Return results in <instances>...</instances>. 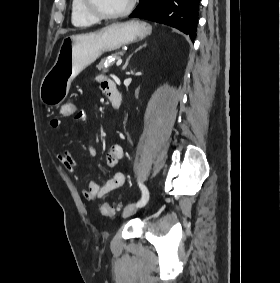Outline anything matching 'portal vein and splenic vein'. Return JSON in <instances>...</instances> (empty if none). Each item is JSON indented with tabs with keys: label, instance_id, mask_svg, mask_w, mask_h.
<instances>
[{
	"label": "portal vein and splenic vein",
	"instance_id": "1",
	"mask_svg": "<svg viewBox=\"0 0 280 283\" xmlns=\"http://www.w3.org/2000/svg\"><path fill=\"white\" fill-rule=\"evenodd\" d=\"M122 59L121 58H119L118 60H117V62H116V66H120L121 64H122Z\"/></svg>",
	"mask_w": 280,
	"mask_h": 283
}]
</instances>
